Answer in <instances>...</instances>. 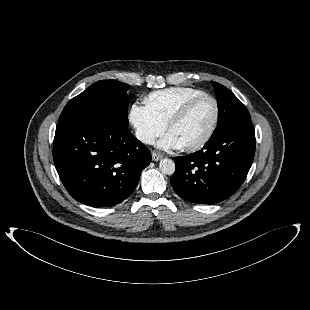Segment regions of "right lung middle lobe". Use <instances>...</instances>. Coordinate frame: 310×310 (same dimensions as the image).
Segmentation results:
<instances>
[{
    "instance_id": "obj_1",
    "label": "right lung middle lobe",
    "mask_w": 310,
    "mask_h": 310,
    "mask_svg": "<svg viewBox=\"0 0 310 310\" xmlns=\"http://www.w3.org/2000/svg\"><path fill=\"white\" fill-rule=\"evenodd\" d=\"M128 89L129 85L116 80L98 81L67 103L59 121L86 117L127 127Z\"/></svg>"
}]
</instances>
